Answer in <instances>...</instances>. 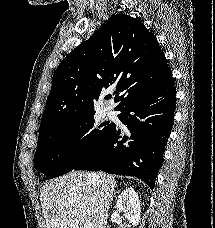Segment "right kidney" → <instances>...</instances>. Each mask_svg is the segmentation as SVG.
<instances>
[{"mask_svg": "<svg viewBox=\"0 0 215 228\" xmlns=\"http://www.w3.org/2000/svg\"><path fill=\"white\" fill-rule=\"evenodd\" d=\"M116 208L129 220L134 228L138 226L141 220V204L134 188H126V190L121 192L117 200Z\"/></svg>", "mask_w": 215, "mask_h": 228, "instance_id": "ca27d5eb", "label": "right kidney"}]
</instances>
